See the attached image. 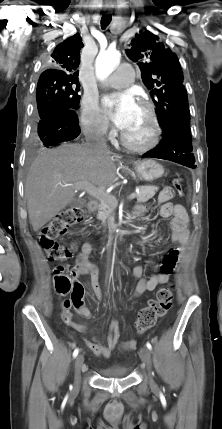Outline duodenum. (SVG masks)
<instances>
[{
	"label": "duodenum",
	"instance_id": "410a0bca",
	"mask_svg": "<svg viewBox=\"0 0 222 429\" xmlns=\"http://www.w3.org/2000/svg\"><path fill=\"white\" fill-rule=\"evenodd\" d=\"M98 209V203L96 201H89L87 204V212L88 213H93ZM126 237V231H121L119 232L114 239L120 241L123 240Z\"/></svg>",
	"mask_w": 222,
	"mask_h": 429
}]
</instances>
